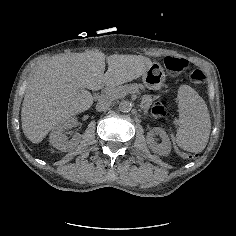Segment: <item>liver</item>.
Masks as SVG:
<instances>
[{
  "mask_svg": "<svg viewBox=\"0 0 236 236\" xmlns=\"http://www.w3.org/2000/svg\"><path fill=\"white\" fill-rule=\"evenodd\" d=\"M145 61L139 55H108L85 50L45 57L36 66L21 107V125L26 138L41 143L49 132L93 104L86 89L97 91L103 84L115 87L145 73ZM80 88H83L80 90Z\"/></svg>",
  "mask_w": 236,
  "mask_h": 236,
  "instance_id": "1",
  "label": "liver"
}]
</instances>
